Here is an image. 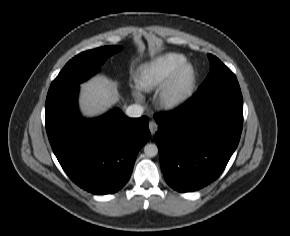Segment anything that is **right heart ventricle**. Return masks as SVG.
Listing matches in <instances>:
<instances>
[{
    "label": "right heart ventricle",
    "mask_w": 290,
    "mask_h": 236,
    "mask_svg": "<svg viewBox=\"0 0 290 236\" xmlns=\"http://www.w3.org/2000/svg\"><path fill=\"white\" fill-rule=\"evenodd\" d=\"M184 62H186V58L182 54L160 55L139 69L137 84L145 91L155 90L163 86Z\"/></svg>",
    "instance_id": "right-heart-ventricle-1"
}]
</instances>
